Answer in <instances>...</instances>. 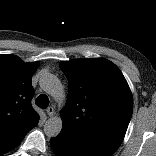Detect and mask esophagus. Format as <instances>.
<instances>
[{
  "mask_svg": "<svg viewBox=\"0 0 156 156\" xmlns=\"http://www.w3.org/2000/svg\"><path fill=\"white\" fill-rule=\"evenodd\" d=\"M46 112L49 116H53L55 114V109L53 106H50L46 109Z\"/></svg>",
  "mask_w": 156,
  "mask_h": 156,
  "instance_id": "34e87169",
  "label": "esophagus"
}]
</instances>
